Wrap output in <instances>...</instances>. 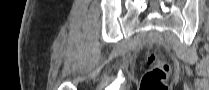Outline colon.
I'll return each instance as SVG.
<instances>
[{
	"mask_svg": "<svg viewBox=\"0 0 209 90\" xmlns=\"http://www.w3.org/2000/svg\"><path fill=\"white\" fill-rule=\"evenodd\" d=\"M147 71L140 82V90H169L167 83L170 66L166 61L160 60L157 55L147 57Z\"/></svg>",
	"mask_w": 209,
	"mask_h": 90,
	"instance_id": "5ec220e1",
	"label": "colon"
}]
</instances>
